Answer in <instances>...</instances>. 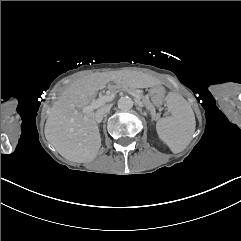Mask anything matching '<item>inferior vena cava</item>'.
I'll list each match as a JSON object with an SVG mask.
<instances>
[{"label":"inferior vena cava","instance_id":"1","mask_svg":"<svg viewBox=\"0 0 241 241\" xmlns=\"http://www.w3.org/2000/svg\"><path fill=\"white\" fill-rule=\"evenodd\" d=\"M111 107L112 105L109 104L96 111L95 120L97 123H100L103 120L104 115L110 111Z\"/></svg>","mask_w":241,"mask_h":241}]
</instances>
